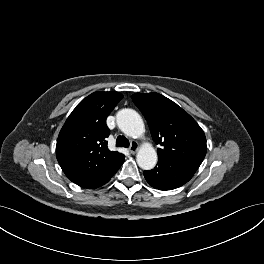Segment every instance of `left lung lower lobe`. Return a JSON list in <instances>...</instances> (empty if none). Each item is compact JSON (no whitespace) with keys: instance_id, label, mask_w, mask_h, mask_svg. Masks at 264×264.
<instances>
[{"instance_id":"1","label":"left lung lower lobe","mask_w":264,"mask_h":264,"mask_svg":"<svg viewBox=\"0 0 264 264\" xmlns=\"http://www.w3.org/2000/svg\"><path fill=\"white\" fill-rule=\"evenodd\" d=\"M196 170L181 162L158 158L154 169L144 171V177L156 189L172 190L187 183Z\"/></svg>"}]
</instances>
